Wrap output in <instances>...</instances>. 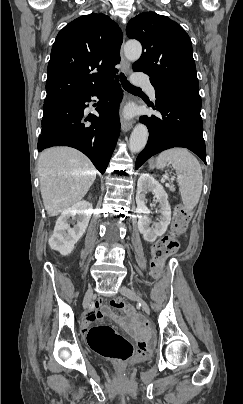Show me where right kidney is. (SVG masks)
<instances>
[{
    "instance_id": "ca27d5eb",
    "label": "right kidney",
    "mask_w": 243,
    "mask_h": 404,
    "mask_svg": "<svg viewBox=\"0 0 243 404\" xmlns=\"http://www.w3.org/2000/svg\"><path fill=\"white\" fill-rule=\"evenodd\" d=\"M89 202H78L72 208L64 210L59 216L54 232L49 238L51 250H57L62 256H69L74 250V246L82 238L91 218L88 214ZM70 218L77 220V224L70 228L68 224Z\"/></svg>"
}]
</instances>
